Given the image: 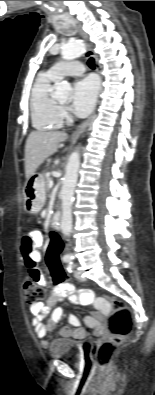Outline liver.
Wrapping results in <instances>:
<instances>
[{
	"label": "liver",
	"instance_id": "liver-1",
	"mask_svg": "<svg viewBox=\"0 0 155 395\" xmlns=\"http://www.w3.org/2000/svg\"><path fill=\"white\" fill-rule=\"evenodd\" d=\"M67 139V134L60 131H33L25 145V176L28 180L37 168L51 155L58 151L59 143Z\"/></svg>",
	"mask_w": 155,
	"mask_h": 395
}]
</instances>
